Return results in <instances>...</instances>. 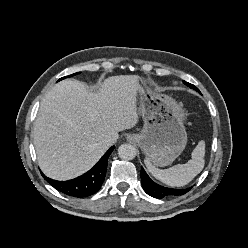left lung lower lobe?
<instances>
[{"label":"left lung lower lobe","mask_w":248,"mask_h":248,"mask_svg":"<svg viewBox=\"0 0 248 248\" xmlns=\"http://www.w3.org/2000/svg\"><path fill=\"white\" fill-rule=\"evenodd\" d=\"M140 175L144 191L154 198H164L166 196H179L187 193L191 189V187L187 189H173L160 186L149 178L143 168H141Z\"/></svg>","instance_id":"obj_1"}]
</instances>
